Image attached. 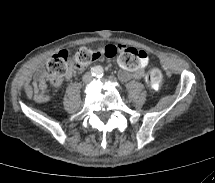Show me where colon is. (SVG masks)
Here are the masks:
<instances>
[{
    "label": "colon",
    "mask_w": 215,
    "mask_h": 183,
    "mask_svg": "<svg viewBox=\"0 0 215 183\" xmlns=\"http://www.w3.org/2000/svg\"><path fill=\"white\" fill-rule=\"evenodd\" d=\"M120 48L117 46H107L100 50H92L88 47L80 48L76 53L70 54L68 51H60L52 56L47 62V75L51 78L64 77L70 68L77 67L83 69L92 62L108 60L117 55ZM146 83L152 89H158L163 83V75L157 66H152L146 73Z\"/></svg>",
    "instance_id": "5ec220e1"
}]
</instances>
